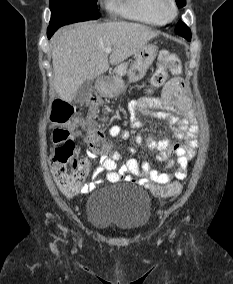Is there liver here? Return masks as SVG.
<instances>
[{"label": "liver", "mask_w": 233, "mask_h": 284, "mask_svg": "<svg viewBox=\"0 0 233 284\" xmlns=\"http://www.w3.org/2000/svg\"><path fill=\"white\" fill-rule=\"evenodd\" d=\"M158 32L130 22L79 23L52 38L53 83L58 96L71 102L81 84L93 80L143 49ZM107 47H112L108 61Z\"/></svg>", "instance_id": "obj_1"}]
</instances>
